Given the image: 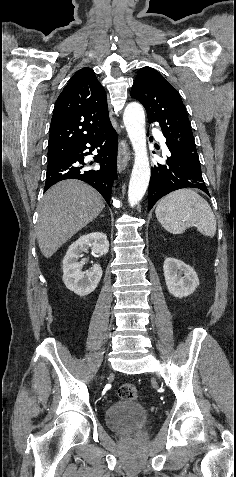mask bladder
<instances>
[{
  "mask_svg": "<svg viewBox=\"0 0 236 477\" xmlns=\"http://www.w3.org/2000/svg\"><path fill=\"white\" fill-rule=\"evenodd\" d=\"M149 420L147 410L135 400L121 399L105 409V424L115 433L141 429Z\"/></svg>",
  "mask_w": 236,
  "mask_h": 477,
  "instance_id": "1",
  "label": "bladder"
}]
</instances>
